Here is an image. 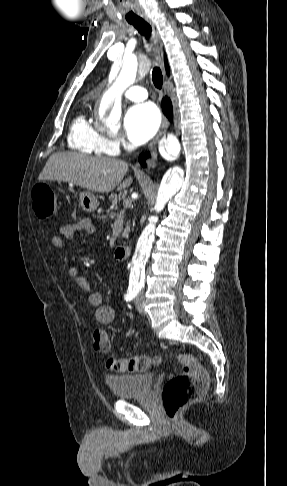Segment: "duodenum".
<instances>
[{
	"label": "duodenum",
	"instance_id": "obj_1",
	"mask_svg": "<svg viewBox=\"0 0 287 486\" xmlns=\"http://www.w3.org/2000/svg\"><path fill=\"white\" fill-rule=\"evenodd\" d=\"M130 251H131V248H130L129 245H125V244L124 245H118L115 248V252H114L115 258L117 260H124L129 256Z\"/></svg>",
	"mask_w": 287,
	"mask_h": 486
}]
</instances>
